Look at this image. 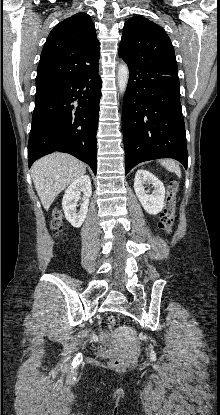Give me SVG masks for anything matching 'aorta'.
<instances>
[{
  "label": "aorta",
  "mask_w": 220,
  "mask_h": 415,
  "mask_svg": "<svg viewBox=\"0 0 220 415\" xmlns=\"http://www.w3.org/2000/svg\"><path fill=\"white\" fill-rule=\"evenodd\" d=\"M129 69L125 63L119 65L117 70V86L121 94H124L128 85Z\"/></svg>",
  "instance_id": "762f6f07"
}]
</instances>
